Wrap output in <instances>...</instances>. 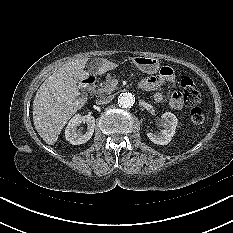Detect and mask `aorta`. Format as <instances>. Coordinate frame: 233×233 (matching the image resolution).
I'll return each instance as SVG.
<instances>
[{
  "mask_svg": "<svg viewBox=\"0 0 233 233\" xmlns=\"http://www.w3.org/2000/svg\"><path fill=\"white\" fill-rule=\"evenodd\" d=\"M135 103V96L130 92H123L118 97V104L122 108H131Z\"/></svg>",
  "mask_w": 233,
  "mask_h": 233,
  "instance_id": "1",
  "label": "aorta"
}]
</instances>
